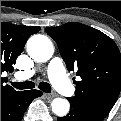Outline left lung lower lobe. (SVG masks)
Here are the masks:
<instances>
[{"label":"left lung lower lobe","mask_w":121,"mask_h":121,"mask_svg":"<svg viewBox=\"0 0 121 121\" xmlns=\"http://www.w3.org/2000/svg\"><path fill=\"white\" fill-rule=\"evenodd\" d=\"M71 104L70 112L65 117H59L58 121H102L105 117L84 109L76 102L69 99Z\"/></svg>","instance_id":"0a47b994"}]
</instances>
